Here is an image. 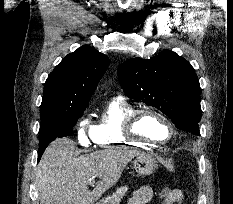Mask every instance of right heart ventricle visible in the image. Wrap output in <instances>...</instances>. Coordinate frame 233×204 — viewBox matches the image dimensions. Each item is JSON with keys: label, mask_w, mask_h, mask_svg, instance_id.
I'll use <instances>...</instances> for the list:
<instances>
[{"label": "right heart ventricle", "mask_w": 233, "mask_h": 204, "mask_svg": "<svg viewBox=\"0 0 233 204\" xmlns=\"http://www.w3.org/2000/svg\"><path fill=\"white\" fill-rule=\"evenodd\" d=\"M132 110V105L121 97L109 99L94 125L95 143L101 148L147 147L148 144L129 139L124 133L125 120Z\"/></svg>", "instance_id": "right-heart-ventricle-1"}]
</instances>
